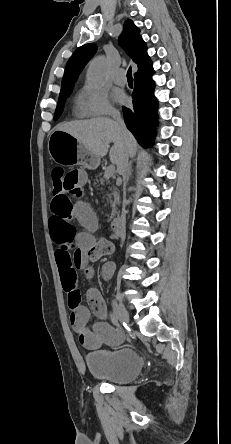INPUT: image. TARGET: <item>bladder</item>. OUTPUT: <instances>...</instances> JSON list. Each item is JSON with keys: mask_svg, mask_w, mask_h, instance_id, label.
<instances>
[{"mask_svg": "<svg viewBox=\"0 0 231 444\" xmlns=\"http://www.w3.org/2000/svg\"><path fill=\"white\" fill-rule=\"evenodd\" d=\"M85 363L92 376L116 384L133 381L142 370L140 355L127 348L90 353Z\"/></svg>", "mask_w": 231, "mask_h": 444, "instance_id": "1", "label": "bladder"}]
</instances>
